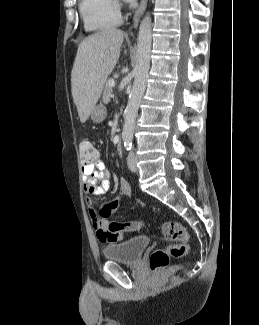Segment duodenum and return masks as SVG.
<instances>
[{
  "instance_id": "1",
  "label": "duodenum",
  "mask_w": 259,
  "mask_h": 325,
  "mask_svg": "<svg viewBox=\"0 0 259 325\" xmlns=\"http://www.w3.org/2000/svg\"><path fill=\"white\" fill-rule=\"evenodd\" d=\"M116 149L118 151H121V149H122V140L120 138L116 142Z\"/></svg>"
}]
</instances>
